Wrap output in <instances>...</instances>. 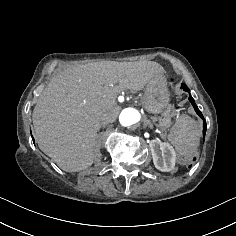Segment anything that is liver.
Listing matches in <instances>:
<instances>
[{
	"mask_svg": "<svg viewBox=\"0 0 236 236\" xmlns=\"http://www.w3.org/2000/svg\"><path fill=\"white\" fill-rule=\"evenodd\" d=\"M164 68L154 61L77 65L51 78L37 99L32 121L41 151L66 172L91 166L97 132L115 121L117 95L139 91Z\"/></svg>",
	"mask_w": 236,
	"mask_h": 236,
	"instance_id": "liver-1",
	"label": "liver"
}]
</instances>
